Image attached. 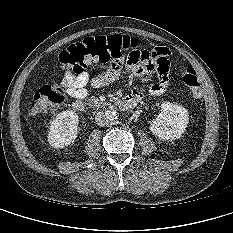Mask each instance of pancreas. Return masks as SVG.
<instances>
[{
  "instance_id": "cf45deb5",
  "label": "pancreas",
  "mask_w": 233,
  "mask_h": 233,
  "mask_svg": "<svg viewBox=\"0 0 233 233\" xmlns=\"http://www.w3.org/2000/svg\"><path fill=\"white\" fill-rule=\"evenodd\" d=\"M89 102H90V104H92V105H94L96 107H101V106L106 105L105 102L100 101V99H98L95 96L90 97Z\"/></svg>"
}]
</instances>
